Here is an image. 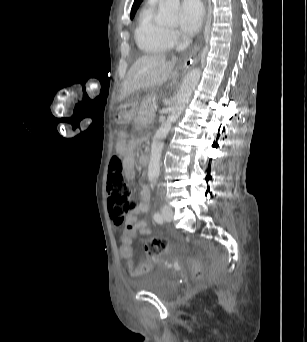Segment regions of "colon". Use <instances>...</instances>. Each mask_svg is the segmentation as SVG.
I'll return each instance as SVG.
<instances>
[{
    "mask_svg": "<svg viewBox=\"0 0 307 342\" xmlns=\"http://www.w3.org/2000/svg\"><path fill=\"white\" fill-rule=\"evenodd\" d=\"M107 190L109 208L116 226L123 224L128 213L136 207V202L131 195V187L126 183L122 175V167L116 156L111 160L108 176ZM126 233L123 243H119L120 254H133V242L135 240V231L132 226H125ZM145 253L150 257H159L164 253H172L174 248L166 239L153 237L145 241L143 245ZM186 268H190V273L195 278L206 275V266H198L197 261H186ZM152 265L149 262H143L138 266L131 267L132 276H140L151 271Z\"/></svg>",
    "mask_w": 307,
    "mask_h": 342,
    "instance_id": "5ec220e1",
    "label": "colon"
}]
</instances>
